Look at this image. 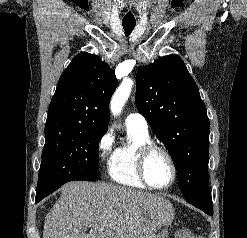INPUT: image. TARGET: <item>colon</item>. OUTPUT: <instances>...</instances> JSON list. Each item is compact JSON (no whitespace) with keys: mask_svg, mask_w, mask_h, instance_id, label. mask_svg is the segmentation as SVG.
Wrapping results in <instances>:
<instances>
[{"mask_svg":"<svg viewBox=\"0 0 247 238\" xmlns=\"http://www.w3.org/2000/svg\"><path fill=\"white\" fill-rule=\"evenodd\" d=\"M175 238H200L189 229H180L176 232Z\"/></svg>","mask_w":247,"mask_h":238,"instance_id":"colon-1","label":"colon"}]
</instances>
